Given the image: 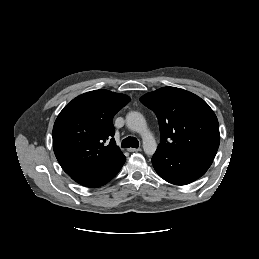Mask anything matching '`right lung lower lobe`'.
<instances>
[{"instance_id": "1", "label": "right lung lower lobe", "mask_w": 259, "mask_h": 259, "mask_svg": "<svg viewBox=\"0 0 259 259\" xmlns=\"http://www.w3.org/2000/svg\"><path fill=\"white\" fill-rule=\"evenodd\" d=\"M125 156L122 155L118 159L109 163L105 167L99 169L96 172L82 175H73L71 178L77 183L86 187H99L108 183L112 178H114L123 164L125 163Z\"/></svg>"}]
</instances>
